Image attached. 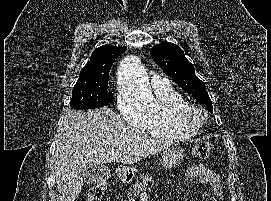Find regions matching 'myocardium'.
Wrapping results in <instances>:
<instances>
[{
	"label": "myocardium",
	"mask_w": 271,
	"mask_h": 201,
	"mask_svg": "<svg viewBox=\"0 0 271 201\" xmlns=\"http://www.w3.org/2000/svg\"><path fill=\"white\" fill-rule=\"evenodd\" d=\"M175 114L179 119L187 124H191L196 127H201L207 120L206 111L194 104L186 103L183 106L175 109Z\"/></svg>",
	"instance_id": "obj_1"
}]
</instances>
